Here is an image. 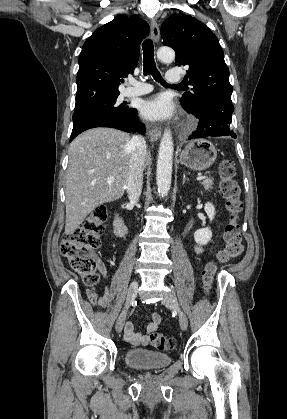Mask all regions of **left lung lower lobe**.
Listing matches in <instances>:
<instances>
[{
  "mask_svg": "<svg viewBox=\"0 0 287 419\" xmlns=\"http://www.w3.org/2000/svg\"><path fill=\"white\" fill-rule=\"evenodd\" d=\"M187 111L199 119L198 127L188 138L189 140L216 136L236 138V134L230 128L234 111L230 99H207L200 104L198 109Z\"/></svg>",
  "mask_w": 287,
  "mask_h": 419,
  "instance_id": "0a47b994",
  "label": "left lung lower lobe"
}]
</instances>
